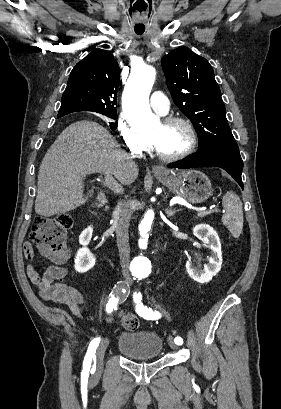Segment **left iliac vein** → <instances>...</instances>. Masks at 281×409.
Masks as SVG:
<instances>
[{
  "instance_id": "left-iliac-vein-1",
  "label": "left iliac vein",
  "mask_w": 281,
  "mask_h": 409,
  "mask_svg": "<svg viewBox=\"0 0 281 409\" xmlns=\"http://www.w3.org/2000/svg\"><path fill=\"white\" fill-rule=\"evenodd\" d=\"M168 343H169V346H170L173 350H176V349L178 348V346H177V344L175 343V341H174V339H173L172 336H169V338H168Z\"/></svg>"
}]
</instances>
